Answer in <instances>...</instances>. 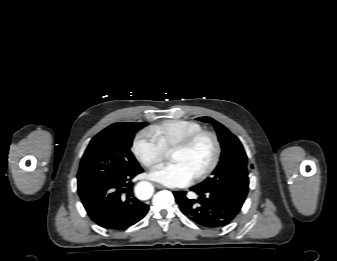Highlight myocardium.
Instances as JSON below:
<instances>
[{"label": "myocardium", "instance_id": "myocardium-1", "mask_svg": "<svg viewBox=\"0 0 337 261\" xmlns=\"http://www.w3.org/2000/svg\"><path fill=\"white\" fill-rule=\"evenodd\" d=\"M210 137L214 143V155L212 158L211 163L209 164V166L203 170L202 172L196 174L194 176V178L196 180H203L205 178H207L210 174H212L214 172V170L217 168L219 162H220V158H221V153H222V145H221V141L219 136L213 132V131H209V130H200L198 132H195L193 134H191L190 136H188L187 138H185L182 142H180L174 149V151H185L190 149L199 139H201L202 137Z\"/></svg>", "mask_w": 337, "mask_h": 261}]
</instances>
